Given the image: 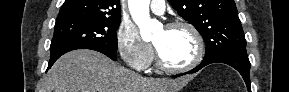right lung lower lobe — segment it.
<instances>
[{"instance_id": "right-lung-lower-lobe-1", "label": "right lung lower lobe", "mask_w": 289, "mask_h": 92, "mask_svg": "<svg viewBox=\"0 0 289 92\" xmlns=\"http://www.w3.org/2000/svg\"><path fill=\"white\" fill-rule=\"evenodd\" d=\"M93 50H96V51H99V52L105 54L106 56H108V57L111 58L112 60H116V55H115V53H111V52H108V51H105V50H100V49H93ZM57 59H58V58L50 59L47 70L51 68V66L54 64V62H55Z\"/></svg>"}]
</instances>
